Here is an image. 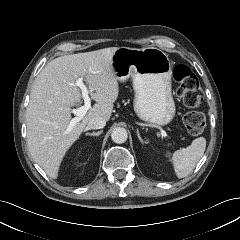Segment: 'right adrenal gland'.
<instances>
[{"label": "right adrenal gland", "mask_w": 240, "mask_h": 240, "mask_svg": "<svg viewBox=\"0 0 240 240\" xmlns=\"http://www.w3.org/2000/svg\"><path fill=\"white\" fill-rule=\"evenodd\" d=\"M102 133V131L93 132V133H86V136H99Z\"/></svg>", "instance_id": "1"}]
</instances>
